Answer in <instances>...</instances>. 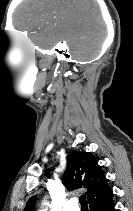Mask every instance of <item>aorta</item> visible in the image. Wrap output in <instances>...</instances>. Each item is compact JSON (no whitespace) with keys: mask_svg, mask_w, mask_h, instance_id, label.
Wrapping results in <instances>:
<instances>
[{"mask_svg":"<svg viewBox=\"0 0 133 211\" xmlns=\"http://www.w3.org/2000/svg\"><path fill=\"white\" fill-rule=\"evenodd\" d=\"M46 206V201L44 200L42 202V209L40 211H46V209L44 208Z\"/></svg>","mask_w":133,"mask_h":211,"instance_id":"1","label":"aorta"}]
</instances>
